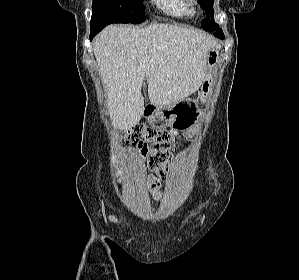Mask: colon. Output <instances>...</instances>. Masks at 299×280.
Here are the masks:
<instances>
[{"instance_id":"colon-1","label":"colon","mask_w":299,"mask_h":280,"mask_svg":"<svg viewBox=\"0 0 299 280\" xmlns=\"http://www.w3.org/2000/svg\"><path fill=\"white\" fill-rule=\"evenodd\" d=\"M127 138L152 167L160 169L163 178L168 176L170 169L168 157L176 144V135L172 130H161L138 124L129 129Z\"/></svg>"}]
</instances>
